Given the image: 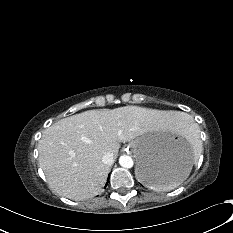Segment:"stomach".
Returning a JSON list of instances; mask_svg holds the SVG:
<instances>
[{
	"label": "stomach",
	"mask_w": 233,
	"mask_h": 233,
	"mask_svg": "<svg viewBox=\"0 0 233 233\" xmlns=\"http://www.w3.org/2000/svg\"><path fill=\"white\" fill-rule=\"evenodd\" d=\"M137 160L136 176L148 188L170 187L188 176L194 155L182 140L148 131L130 144Z\"/></svg>",
	"instance_id": "1"
}]
</instances>
